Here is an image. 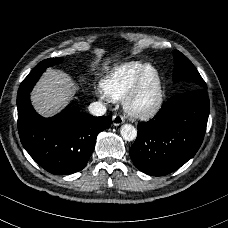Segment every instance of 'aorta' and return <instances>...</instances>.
Returning <instances> with one entry per match:
<instances>
[{
  "instance_id": "1",
  "label": "aorta",
  "mask_w": 228,
  "mask_h": 228,
  "mask_svg": "<svg viewBox=\"0 0 228 228\" xmlns=\"http://www.w3.org/2000/svg\"><path fill=\"white\" fill-rule=\"evenodd\" d=\"M120 133H121V136L123 137V139L126 141H133L137 137V130L131 124L122 125Z\"/></svg>"
}]
</instances>
